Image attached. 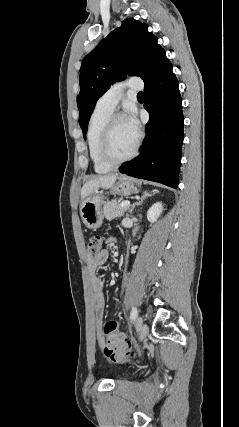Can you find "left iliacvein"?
<instances>
[{"label":"left iliac vein","instance_id":"4c4485c4","mask_svg":"<svg viewBox=\"0 0 239 427\" xmlns=\"http://www.w3.org/2000/svg\"><path fill=\"white\" fill-rule=\"evenodd\" d=\"M137 331L139 340H143L148 334V326L143 323V319L141 317L137 319Z\"/></svg>","mask_w":239,"mask_h":427}]
</instances>
